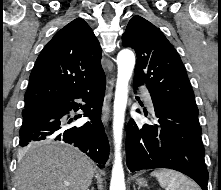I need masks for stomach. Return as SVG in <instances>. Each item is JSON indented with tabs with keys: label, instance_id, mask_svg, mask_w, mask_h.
I'll list each match as a JSON object with an SVG mask.
<instances>
[{
	"label": "stomach",
	"instance_id": "0dacf381",
	"mask_svg": "<svg viewBox=\"0 0 221 190\" xmlns=\"http://www.w3.org/2000/svg\"><path fill=\"white\" fill-rule=\"evenodd\" d=\"M136 183L139 185V186H146L147 185V181L143 178H137L136 179Z\"/></svg>",
	"mask_w": 221,
	"mask_h": 190
}]
</instances>
